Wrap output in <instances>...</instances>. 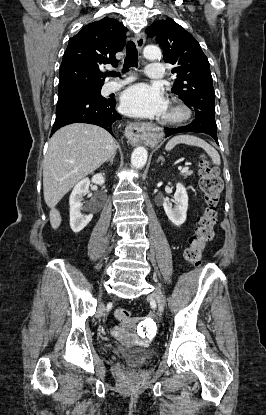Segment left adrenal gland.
Masks as SVG:
<instances>
[{"instance_id": "1", "label": "left adrenal gland", "mask_w": 266, "mask_h": 415, "mask_svg": "<svg viewBox=\"0 0 266 415\" xmlns=\"http://www.w3.org/2000/svg\"><path fill=\"white\" fill-rule=\"evenodd\" d=\"M159 161L164 162V161H165L164 157H163V156H160V157L158 158V162H159Z\"/></svg>"}]
</instances>
